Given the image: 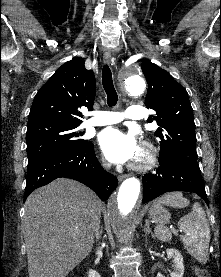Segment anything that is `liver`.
Listing matches in <instances>:
<instances>
[{"mask_svg": "<svg viewBox=\"0 0 221 277\" xmlns=\"http://www.w3.org/2000/svg\"><path fill=\"white\" fill-rule=\"evenodd\" d=\"M96 194L58 178L25 202L23 232L29 277H66L91 252L101 217Z\"/></svg>", "mask_w": 221, "mask_h": 277, "instance_id": "1", "label": "liver"}]
</instances>
